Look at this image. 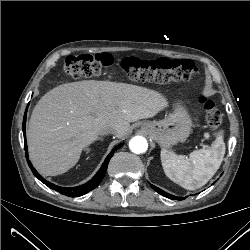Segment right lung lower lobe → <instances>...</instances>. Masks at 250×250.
Here are the masks:
<instances>
[{"mask_svg": "<svg viewBox=\"0 0 250 250\" xmlns=\"http://www.w3.org/2000/svg\"><path fill=\"white\" fill-rule=\"evenodd\" d=\"M26 113H27V109L25 111V115H24V119H23V133L25 136V125H26ZM123 144H119L118 146H116L112 152H110V154L106 157L104 163L102 164L101 168L99 169V171L95 174V176L88 181L87 183L80 185V186H76V187H70V188H66V187H60L57 186L55 184H52L48 181H46L41 175L38 174V172L36 171V169L32 166L30 160H27L29 167L31 168L33 174L40 180L42 181L44 184H46L49 188L56 190L57 192L69 196V197H79L81 195H84L88 192H90L91 190H93L94 188H96L99 183L102 181L105 172L107 170V166L108 163L111 159V157L113 156L114 152L119 149ZM24 146H25V153H26V158L28 159V149H27V144H26V138L24 139Z\"/></svg>", "mask_w": 250, "mask_h": 250, "instance_id": "98d812e1", "label": "right lung lower lobe"}]
</instances>
